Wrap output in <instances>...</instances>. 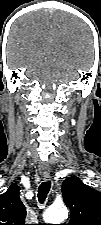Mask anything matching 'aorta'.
<instances>
[{
    "instance_id": "1",
    "label": "aorta",
    "mask_w": 101,
    "mask_h": 225,
    "mask_svg": "<svg viewBox=\"0 0 101 225\" xmlns=\"http://www.w3.org/2000/svg\"><path fill=\"white\" fill-rule=\"evenodd\" d=\"M68 217V210L64 205H52L45 211L43 218L47 224H60Z\"/></svg>"
}]
</instances>
